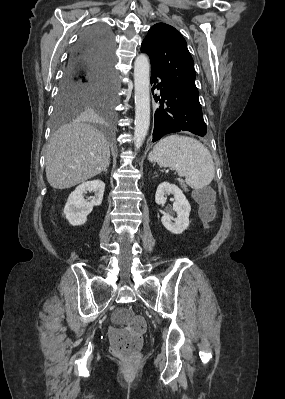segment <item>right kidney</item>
<instances>
[{
  "label": "right kidney",
  "mask_w": 285,
  "mask_h": 399,
  "mask_svg": "<svg viewBox=\"0 0 285 399\" xmlns=\"http://www.w3.org/2000/svg\"><path fill=\"white\" fill-rule=\"evenodd\" d=\"M105 184L101 180L87 181L79 186L69 195L64 207V215L68 222L73 226L83 225L87 221V216L92 212L94 206L102 203ZM94 192L95 196L88 202L83 198L87 192Z\"/></svg>",
  "instance_id": "ca27d5eb"
}]
</instances>
